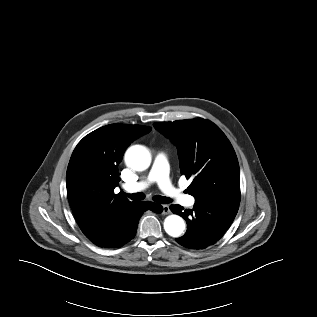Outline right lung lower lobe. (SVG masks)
Wrapping results in <instances>:
<instances>
[{"label":"right lung lower lobe","instance_id":"98d812e1","mask_svg":"<svg viewBox=\"0 0 317 317\" xmlns=\"http://www.w3.org/2000/svg\"><path fill=\"white\" fill-rule=\"evenodd\" d=\"M147 210L161 213L163 207L149 201L133 202L111 216L94 209L76 219L92 243L102 248H119L134 238L139 219Z\"/></svg>","mask_w":317,"mask_h":317}]
</instances>
